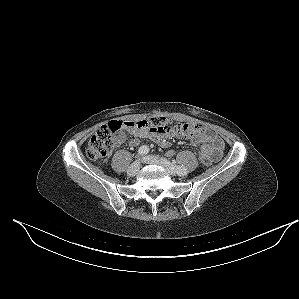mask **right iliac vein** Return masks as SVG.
<instances>
[{"instance_id":"obj_1","label":"right iliac vein","mask_w":299,"mask_h":299,"mask_svg":"<svg viewBox=\"0 0 299 299\" xmlns=\"http://www.w3.org/2000/svg\"><path fill=\"white\" fill-rule=\"evenodd\" d=\"M139 168H140V162L139 161H135L128 168L127 174L129 176H135L137 174V172L139 171Z\"/></svg>"}]
</instances>
